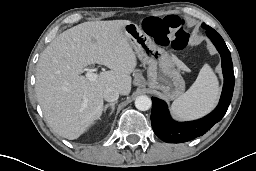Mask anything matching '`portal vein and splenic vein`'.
<instances>
[{"label":"portal vein and splenic vein","mask_w":256,"mask_h":171,"mask_svg":"<svg viewBox=\"0 0 256 171\" xmlns=\"http://www.w3.org/2000/svg\"><path fill=\"white\" fill-rule=\"evenodd\" d=\"M85 77H86V79H88L90 81H94L99 77V75L96 73V70L89 69L86 71Z\"/></svg>","instance_id":"18ae733b"}]
</instances>
